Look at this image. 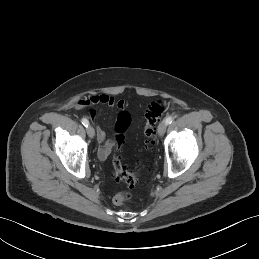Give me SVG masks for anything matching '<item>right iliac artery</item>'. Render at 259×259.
<instances>
[{"label": "right iliac artery", "mask_w": 259, "mask_h": 259, "mask_svg": "<svg viewBox=\"0 0 259 259\" xmlns=\"http://www.w3.org/2000/svg\"><path fill=\"white\" fill-rule=\"evenodd\" d=\"M81 122H82V124H83L85 127H88L89 121H88L86 118H82V119H81Z\"/></svg>", "instance_id": "82829eb1"}]
</instances>
